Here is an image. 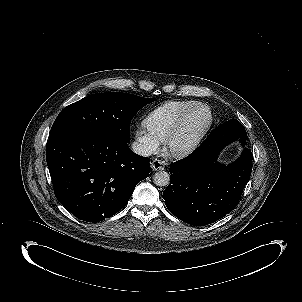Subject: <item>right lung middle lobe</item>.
Wrapping results in <instances>:
<instances>
[{
	"label": "right lung middle lobe",
	"mask_w": 302,
	"mask_h": 302,
	"mask_svg": "<svg viewBox=\"0 0 302 302\" xmlns=\"http://www.w3.org/2000/svg\"><path fill=\"white\" fill-rule=\"evenodd\" d=\"M155 98L128 93L105 92L89 95L67 107L57 116L49 138L91 130L130 141V123L135 114Z\"/></svg>",
	"instance_id": "dd1d6c3e"
}]
</instances>
